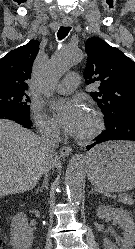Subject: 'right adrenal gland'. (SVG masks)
I'll return each instance as SVG.
<instances>
[{"label": "right adrenal gland", "instance_id": "2a0ac1e0", "mask_svg": "<svg viewBox=\"0 0 135 249\" xmlns=\"http://www.w3.org/2000/svg\"><path fill=\"white\" fill-rule=\"evenodd\" d=\"M48 179H49V177L46 174L45 177H44V182L42 183V186L40 188L41 191H43L44 188H46V189L48 188Z\"/></svg>", "mask_w": 135, "mask_h": 249}]
</instances>
